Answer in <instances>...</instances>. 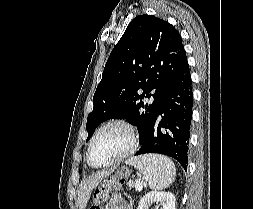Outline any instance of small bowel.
<instances>
[{"label":"small bowel","mask_w":253,"mask_h":209,"mask_svg":"<svg viewBox=\"0 0 253 209\" xmlns=\"http://www.w3.org/2000/svg\"><path fill=\"white\" fill-rule=\"evenodd\" d=\"M105 209H131L129 202L123 198V196L119 193L113 194L107 205L105 206Z\"/></svg>","instance_id":"c3829d8e"}]
</instances>
